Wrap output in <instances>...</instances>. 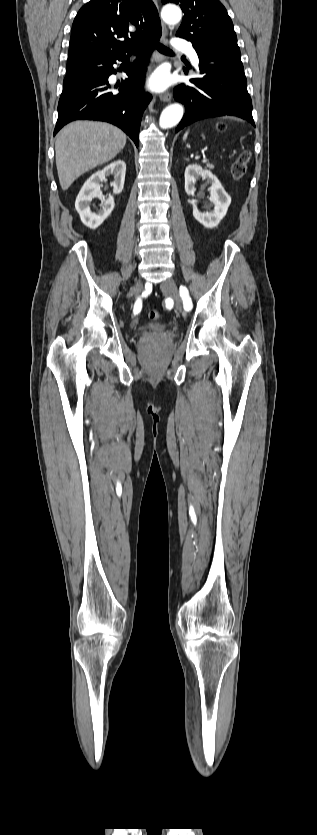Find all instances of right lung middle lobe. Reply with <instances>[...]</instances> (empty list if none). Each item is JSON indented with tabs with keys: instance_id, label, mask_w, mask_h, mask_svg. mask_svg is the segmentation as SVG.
I'll list each match as a JSON object with an SVG mask.
<instances>
[{
	"instance_id": "obj_1",
	"label": "right lung middle lobe",
	"mask_w": 317,
	"mask_h": 835,
	"mask_svg": "<svg viewBox=\"0 0 317 835\" xmlns=\"http://www.w3.org/2000/svg\"><path fill=\"white\" fill-rule=\"evenodd\" d=\"M94 76H95V74L93 73V71L91 69H86V70H83L81 72H76L72 75L66 76L64 81H63V84L65 85V84H68V83H73V82H77V81L91 79Z\"/></svg>"
}]
</instances>
